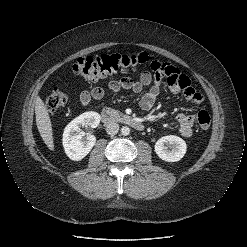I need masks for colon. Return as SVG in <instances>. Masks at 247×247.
Returning <instances> with one entry per match:
<instances>
[{"label":"colon","mask_w":247,"mask_h":247,"mask_svg":"<svg viewBox=\"0 0 247 247\" xmlns=\"http://www.w3.org/2000/svg\"><path fill=\"white\" fill-rule=\"evenodd\" d=\"M151 62L152 57L141 52L136 55L104 54L96 57H81L73 65L74 72L88 81H97L116 73H123L138 69L140 66ZM67 95L58 88H54L46 98V108L49 112H55L67 103ZM198 126L206 130L211 125L210 114L201 110L197 114Z\"/></svg>","instance_id":"obj_1"}]
</instances>
